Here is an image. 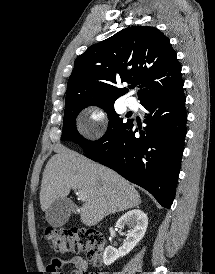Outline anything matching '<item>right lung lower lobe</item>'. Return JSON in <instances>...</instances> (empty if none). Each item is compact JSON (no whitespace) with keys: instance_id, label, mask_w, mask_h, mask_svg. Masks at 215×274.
Wrapping results in <instances>:
<instances>
[{"instance_id":"right-lung-lower-lobe-1","label":"right lung lower lobe","mask_w":215,"mask_h":274,"mask_svg":"<svg viewBox=\"0 0 215 274\" xmlns=\"http://www.w3.org/2000/svg\"><path fill=\"white\" fill-rule=\"evenodd\" d=\"M147 110L146 127L135 135L133 121L85 154L149 191L165 208L175 196L186 135L183 90L141 103Z\"/></svg>"}]
</instances>
